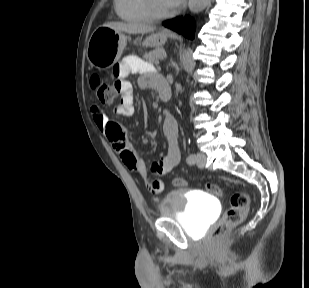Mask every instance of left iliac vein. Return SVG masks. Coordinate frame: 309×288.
I'll use <instances>...</instances> for the list:
<instances>
[{"mask_svg": "<svg viewBox=\"0 0 309 288\" xmlns=\"http://www.w3.org/2000/svg\"><path fill=\"white\" fill-rule=\"evenodd\" d=\"M206 162V155L204 153L196 154V164L199 168H204Z\"/></svg>", "mask_w": 309, "mask_h": 288, "instance_id": "obj_1", "label": "left iliac vein"}]
</instances>
